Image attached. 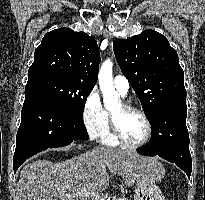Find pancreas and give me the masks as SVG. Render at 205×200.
Masks as SVG:
<instances>
[{
	"mask_svg": "<svg viewBox=\"0 0 205 200\" xmlns=\"http://www.w3.org/2000/svg\"><path fill=\"white\" fill-rule=\"evenodd\" d=\"M113 200H127V199H121V198H117V199H113Z\"/></svg>",
	"mask_w": 205,
	"mask_h": 200,
	"instance_id": "pancreas-1",
	"label": "pancreas"
}]
</instances>
